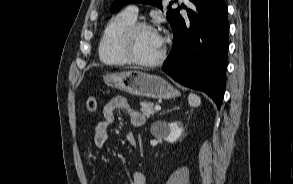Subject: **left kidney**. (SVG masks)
I'll use <instances>...</instances> for the list:
<instances>
[{
  "instance_id": "1",
  "label": "left kidney",
  "mask_w": 293,
  "mask_h": 184,
  "mask_svg": "<svg viewBox=\"0 0 293 184\" xmlns=\"http://www.w3.org/2000/svg\"><path fill=\"white\" fill-rule=\"evenodd\" d=\"M183 133V127L181 122H173L165 125L162 137L164 140L170 143L176 142Z\"/></svg>"
}]
</instances>
